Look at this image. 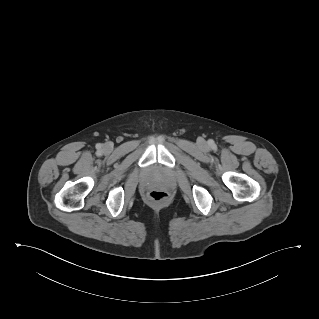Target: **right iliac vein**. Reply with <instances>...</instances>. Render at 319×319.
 Here are the masks:
<instances>
[{
	"label": "right iliac vein",
	"mask_w": 319,
	"mask_h": 319,
	"mask_svg": "<svg viewBox=\"0 0 319 319\" xmlns=\"http://www.w3.org/2000/svg\"><path fill=\"white\" fill-rule=\"evenodd\" d=\"M108 150H110V147L107 145L105 146V151H108Z\"/></svg>",
	"instance_id": "right-iliac-vein-1"
}]
</instances>
